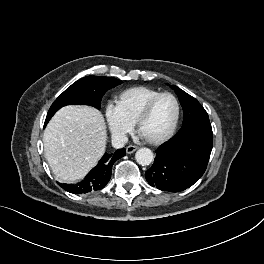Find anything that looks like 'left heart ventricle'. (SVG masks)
Returning a JSON list of instances; mask_svg holds the SVG:
<instances>
[{"label":"left heart ventricle","instance_id":"left-heart-ventricle-1","mask_svg":"<svg viewBox=\"0 0 264 264\" xmlns=\"http://www.w3.org/2000/svg\"><path fill=\"white\" fill-rule=\"evenodd\" d=\"M176 113V105L170 96L157 100L150 115L141 126L143 137L156 138L166 133L171 127Z\"/></svg>","mask_w":264,"mask_h":264}]
</instances>
